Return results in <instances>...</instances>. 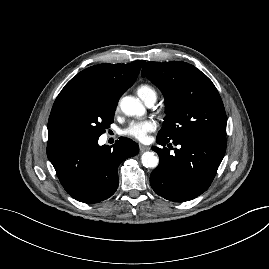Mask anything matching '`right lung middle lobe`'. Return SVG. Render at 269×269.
Segmentation results:
<instances>
[{
    "instance_id": "right-lung-middle-lobe-1",
    "label": "right lung middle lobe",
    "mask_w": 269,
    "mask_h": 269,
    "mask_svg": "<svg viewBox=\"0 0 269 269\" xmlns=\"http://www.w3.org/2000/svg\"><path fill=\"white\" fill-rule=\"evenodd\" d=\"M116 102L92 93H70L59 103L57 120L70 140L97 139L114 120Z\"/></svg>"
}]
</instances>
